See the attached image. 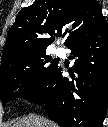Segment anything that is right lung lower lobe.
Returning a JSON list of instances; mask_svg holds the SVG:
<instances>
[{"label":"right lung lower lobe","mask_w":108,"mask_h":127,"mask_svg":"<svg viewBox=\"0 0 108 127\" xmlns=\"http://www.w3.org/2000/svg\"><path fill=\"white\" fill-rule=\"evenodd\" d=\"M72 80L58 67L47 83L28 96L45 105L51 120L61 127H101L108 102V25L101 18L67 45Z\"/></svg>","instance_id":"98d812e1"}]
</instances>
